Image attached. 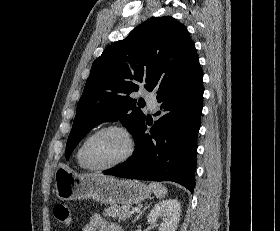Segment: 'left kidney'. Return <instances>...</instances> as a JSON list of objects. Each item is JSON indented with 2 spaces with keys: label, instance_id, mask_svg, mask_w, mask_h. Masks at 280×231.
<instances>
[{
  "label": "left kidney",
  "instance_id": "5707ae66",
  "mask_svg": "<svg viewBox=\"0 0 280 231\" xmlns=\"http://www.w3.org/2000/svg\"><path fill=\"white\" fill-rule=\"evenodd\" d=\"M180 213L178 199H162L151 209L147 221L158 225V231H176Z\"/></svg>",
  "mask_w": 280,
  "mask_h": 231
}]
</instances>
